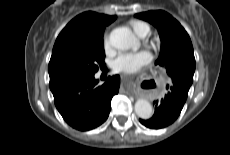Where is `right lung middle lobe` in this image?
<instances>
[{
  "label": "right lung middle lobe",
  "mask_w": 230,
  "mask_h": 155,
  "mask_svg": "<svg viewBox=\"0 0 230 155\" xmlns=\"http://www.w3.org/2000/svg\"><path fill=\"white\" fill-rule=\"evenodd\" d=\"M103 43L84 48H63L52 53L48 72L50 77L80 73H95L104 65Z\"/></svg>",
  "instance_id": "dd1d6c3e"
}]
</instances>
